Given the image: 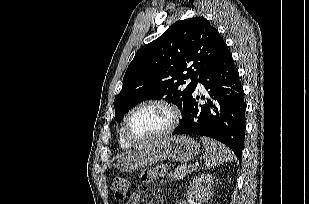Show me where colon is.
<instances>
[{
    "mask_svg": "<svg viewBox=\"0 0 309 204\" xmlns=\"http://www.w3.org/2000/svg\"><path fill=\"white\" fill-rule=\"evenodd\" d=\"M129 189V182L124 177H115L111 182V190L115 200L122 201L125 199Z\"/></svg>",
    "mask_w": 309,
    "mask_h": 204,
    "instance_id": "5ec220e1",
    "label": "colon"
}]
</instances>
